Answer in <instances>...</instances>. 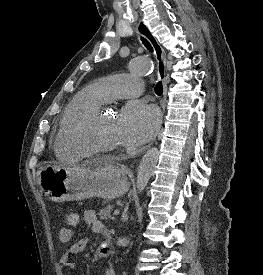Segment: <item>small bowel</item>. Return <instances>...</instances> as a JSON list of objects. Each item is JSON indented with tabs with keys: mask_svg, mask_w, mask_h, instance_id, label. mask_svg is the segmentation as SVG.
Returning a JSON list of instances; mask_svg holds the SVG:
<instances>
[{
	"mask_svg": "<svg viewBox=\"0 0 263 275\" xmlns=\"http://www.w3.org/2000/svg\"><path fill=\"white\" fill-rule=\"evenodd\" d=\"M83 221L89 225L92 231L96 234H101L104 237V241L99 245L96 250L97 257H107L111 253L109 232L106 226L98 219L94 210H86L83 213ZM74 231L71 226L63 227L58 232V238L61 243L68 244L72 241ZM87 239L83 238L77 242L69 245L63 252L60 258V265L63 268L74 270L76 265L71 260L75 255L82 252L87 246ZM104 275H116V271L113 266H108L105 270Z\"/></svg>",
	"mask_w": 263,
	"mask_h": 275,
	"instance_id": "obj_1",
	"label": "small bowel"
}]
</instances>
